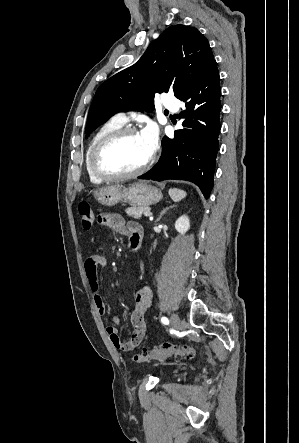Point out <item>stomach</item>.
<instances>
[{"instance_id":"stomach-1","label":"stomach","mask_w":299,"mask_h":443,"mask_svg":"<svg viewBox=\"0 0 299 443\" xmlns=\"http://www.w3.org/2000/svg\"><path fill=\"white\" fill-rule=\"evenodd\" d=\"M94 198L104 206H115L119 202H128L134 206H149L162 198L161 191L147 182H135L128 188L110 185L93 192Z\"/></svg>"}]
</instances>
